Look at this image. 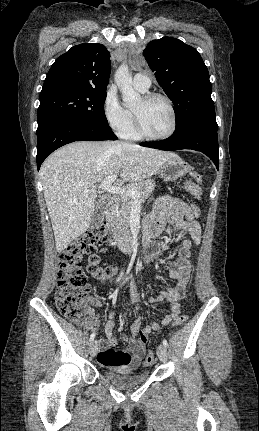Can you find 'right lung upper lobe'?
I'll list each match as a JSON object with an SVG mask.
<instances>
[{
	"label": "right lung upper lobe",
	"mask_w": 259,
	"mask_h": 431,
	"mask_svg": "<svg viewBox=\"0 0 259 431\" xmlns=\"http://www.w3.org/2000/svg\"><path fill=\"white\" fill-rule=\"evenodd\" d=\"M111 71L110 53L102 44L76 45L56 59L41 92L53 86L106 90Z\"/></svg>",
	"instance_id": "1"
}]
</instances>
